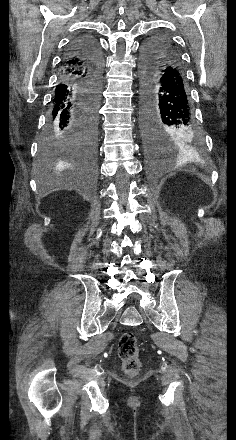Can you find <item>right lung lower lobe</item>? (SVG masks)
<instances>
[{
  "mask_svg": "<svg viewBox=\"0 0 236 440\" xmlns=\"http://www.w3.org/2000/svg\"><path fill=\"white\" fill-rule=\"evenodd\" d=\"M71 63H75L72 69L82 64L83 74L80 77H60L52 100L46 136L65 135L75 141L85 157H90L96 152V139L87 146L80 145L78 141L89 129L93 107L86 97L85 88L87 85H96L101 89L104 61L97 40L90 35L75 38L63 60V73Z\"/></svg>",
  "mask_w": 236,
  "mask_h": 440,
  "instance_id": "right-lung-lower-lobe-1",
  "label": "right lung lower lobe"
}]
</instances>
